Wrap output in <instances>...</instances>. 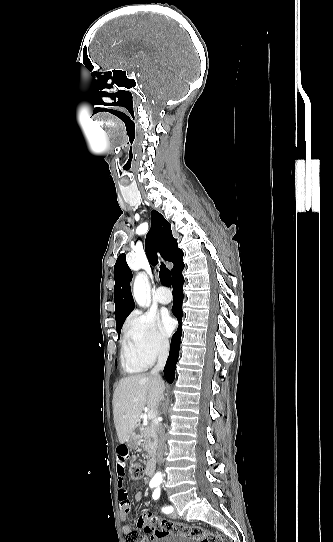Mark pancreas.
Returning <instances> with one entry per match:
<instances>
[{"instance_id":"obj_1","label":"pancreas","mask_w":333,"mask_h":542,"mask_svg":"<svg viewBox=\"0 0 333 542\" xmlns=\"http://www.w3.org/2000/svg\"><path fill=\"white\" fill-rule=\"evenodd\" d=\"M141 438H143L142 448L146 452L148 460H155L158 436L153 422H149V426L142 428Z\"/></svg>"}]
</instances>
